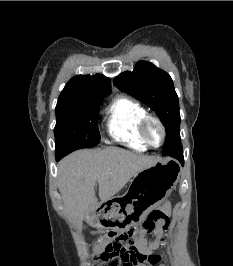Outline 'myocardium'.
Instances as JSON below:
<instances>
[{
    "label": "myocardium",
    "mask_w": 233,
    "mask_h": 266,
    "mask_svg": "<svg viewBox=\"0 0 233 266\" xmlns=\"http://www.w3.org/2000/svg\"><path fill=\"white\" fill-rule=\"evenodd\" d=\"M151 122L156 123L160 127L161 132H162V139H161V142L158 145L152 144L150 142L149 138H148V135H147V128H148V125ZM139 134H140V137L143 140V142L148 147H151V148H159V147H161L164 144L165 140H166V128H165L163 122L157 116L150 115V114H147L142 119V121H141V123L139 125Z\"/></svg>",
    "instance_id": "myocardium-1"
}]
</instances>
